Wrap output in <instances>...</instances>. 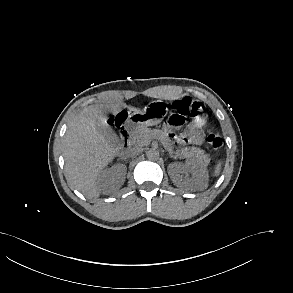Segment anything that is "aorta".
Here are the masks:
<instances>
[{
    "instance_id": "aorta-1",
    "label": "aorta",
    "mask_w": 293,
    "mask_h": 293,
    "mask_svg": "<svg viewBox=\"0 0 293 293\" xmlns=\"http://www.w3.org/2000/svg\"><path fill=\"white\" fill-rule=\"evenodd\" d=\"M146 155H147V158L152 161L158 160L160 157L159 151L153 148L148 150Z\"/></svg>"
}]
</instances>
